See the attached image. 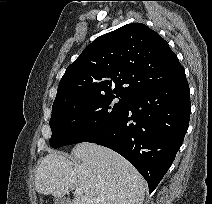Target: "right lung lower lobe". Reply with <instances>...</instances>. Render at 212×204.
I'll list each match as a JSON object with an SVG mask.
<instances>
[{
  "label": "right lung lower lobe",
  "mask_w": 212,
  "mask_h": 204,
  "mask_svg": "<svg viewBox=\"0 0 212 204\" xmlns=\"http://www.w3.org/2000/svg\"><path fill=\"white\" fill-rule=\"evenodd\" d=\"M190 111V91L184 72L167 84L130 95L122 114L85 142L121 154L146 179L152 192L182 145Z\"/></svg>",
  "instance_id": "right-lung-lower-lobe-1"
}]
</instances>
